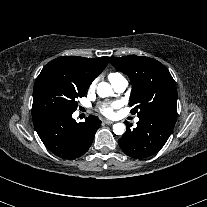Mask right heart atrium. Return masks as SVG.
<instances>
[{"label":"right heart atrium","mask_w":207,"mask_h":207,"mask_svg":"<svg viewBox=\"0 0 207 207\" xmlns=\"http://www.w3.org/2000/svg\"><path fill=\"white\" fill-rule=\"evenodd\" d=\"M94 88H95V81H93V82L89 85V87H88V91L91 92V91L94 90Z\"/></svg>","instance_id":"obj_1"}]
</instances>
